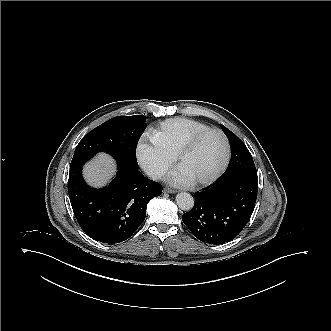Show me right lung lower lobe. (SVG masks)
Listing matches in <instances>:
<instances>
[{
    "label": "right lung lower lobe",
    "mask_w": 331,
    "mask_h": 331,
    "mask_svg": "<svg viewBox=\"0 0 331 331\" xmlns=\"http://www.w3.org/2000/svg\"><path fill=\"white\" fill-rule=\"evenodd\" d=\"M85 161L70 165L69 197L82 230L94 240L120 243L143 223L147 203L162 192L157 183L144 178L138 169L118 161V172L102 189L89 187L82 177Z\"/></svg>",
    "instance_id": "obj_1"
}]
</instances>
